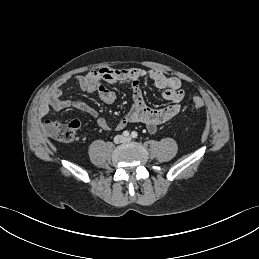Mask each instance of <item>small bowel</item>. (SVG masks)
Here are the masks:
<instances>
[{"instance_id":"c3829d8e","label":"small bowel","mask_w":259,"mask_h":259,"mask_svg":"<svg viewBox=\"0 0 259 259\" xmlns=\"http://www.w3.org/2000/svg\"><path fill=\"white\" fill-rule=\"evenodd\" d=\"M145 78L151 80L154 87L162 92L163 98L170 102L169 105L159 109H153L146 105L141 90V80ZM74 81L84 91L96 94L105 104H112L117 95L115 91L103 85V82L126 84L131 87L133 103L127 114L116 124L117 130H122L129 124L142 123L146 125L150 133H154L159 125L168 122L179 113L184 99L180 80L176 77L166 76L158 69L104 67L84 75L75 76ZM62 94L60 86L51 90L49 99L40 108V117L47 115L52 109L75 108L95 119L102 130H110L108 121L101 117L95 108L80 100L64 99Z\"/></svg>"}]
</instances>
